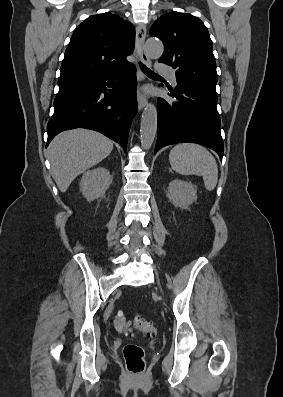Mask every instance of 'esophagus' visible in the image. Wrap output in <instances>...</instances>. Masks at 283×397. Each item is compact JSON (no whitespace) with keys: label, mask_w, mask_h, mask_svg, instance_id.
Listing matches in <instances>:
<instances>
[{"label":"esophagus","mask_w":283,"mask_h":397,"mask_svg":"<svg viewBox=\"0 0 283 397\" xmlns=\"http://www.w3.org/2000/svg\"><path fill=\"white\" fill-rule=\"evenodd\" d=\"M146 37V28L144 25H137L136 26V40L139 48V55L142 63L147 66H151V61L145 51L144 42ZM144 78L143 74L139 73V79L142 81ZM137 103L139 110H142L145 105L147 104V96L143 94L141 91L137 93Z\"/></svg>","instance_id":"obj_1"}]
</instances>
